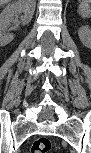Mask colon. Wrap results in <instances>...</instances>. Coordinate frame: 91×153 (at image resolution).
Segmentation results:
<instances>
[{
    "label": "colon",
    "instance_id": "obj_1",
    "mask_svg": "<svg viewBox=\"0 0 91 153\" xmlns=\"http://www.w3.org/2000/svg\"><path fill=\"white\" fill-rule=\"evenodd\" d=\"M52 143L47 137L36 139L31 146V153H48L51 150Z\"/></svg>",
    "mask_w": 91,
    "mask_h": 153
}]
</instances>
